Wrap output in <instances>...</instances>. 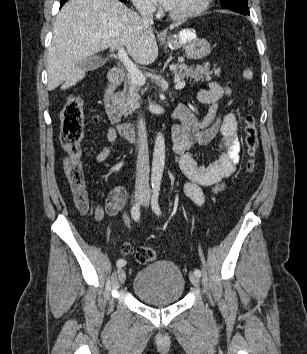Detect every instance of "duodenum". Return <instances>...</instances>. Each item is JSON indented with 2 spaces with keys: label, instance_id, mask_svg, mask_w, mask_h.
<instances>
[{
  "label": "duodenum",
  "instance_id": "obj_1",
  "mask_svg": "<svg viewBox=\"0 0 307 354\" xmlns=\"http://www.w3.org/2000/svg\"><path fill=\"white\" fill-rule=\"evenodd\" d=\"M123 80V70L119 68H112L108 72L103 102L106 114L111 124L117 128L119 134L125 140L132 142L136 137V124L131 122H122L123 111L116 91L117 87L121 85Z\"/></svg>",
  "mask_w": 307,
  "mask_h": 354
}]
</instances>
